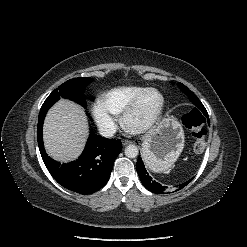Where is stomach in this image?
Instances as JSON below:
<instances>
[{"label":"stomach","mask_w":247,"mask_h":247,"mask_svg":"<svg viewBox=\"0 0 247 247\" xmlns=\"http://www.w3.org/2000/svg\"><path fill=\"white\" fill-rule=\"evenodd\" d=\"M185 143L182 125L175 118L164 119L142 143V158L154 172H166L180 156Z\"/></svg>","instance_id":"1"}]
</instances>
